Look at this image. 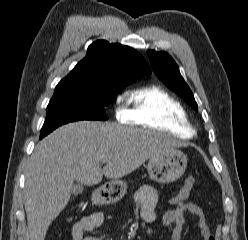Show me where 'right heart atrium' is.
I'll return each instance as SVG.
<instances>
[{
	"label": "right heart atrium",
	"mask_w": 248,
	"mask_h": 240,
	"mask_svg": "<svg viewBox=\"0 0 248 240\" xmlns=\"http://www.w3.org/2000/svg\"><path fill=\"white\" fill-rule=\"evenodd\" d=\"M115 115L119 120L122 121H125L128 116L127 109L120 104L119 98L117 99V103L115 107Z\"/></svg>",
	"instance_id": "1"
}]
</instances>
